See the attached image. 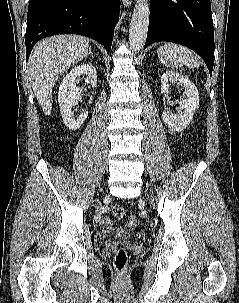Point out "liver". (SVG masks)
I'll return each instance as SVG.
<instances>
[{"label":"liver","instance_id":"liver-1","mask_svg":"<svg viewBox=\"0 0 239 303\" xmlns=\"http://www.w3.org/2000/svg\"><path fill=\"white\" fill-rule=\"evenodd\" d=\"M89 39L79 35H57L38 42L28 62L33 91L45 115L52 110V90L67 69L88 55Z\"/></svg>","mask_w":239,"mask_h":303}]
</instances>
